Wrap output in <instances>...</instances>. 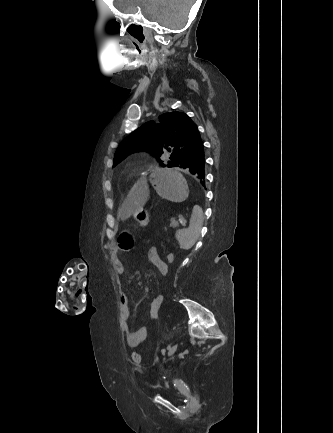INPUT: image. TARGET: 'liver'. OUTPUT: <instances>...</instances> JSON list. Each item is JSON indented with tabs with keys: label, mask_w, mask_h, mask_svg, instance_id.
<instances>
[{
	"label": "liver",
	"mask_w": 333,
	"mask_h": 433,
	"mask_svg": "<svg viewBox=\"0 0 333 433\" xmlns=\"http://www.w3.org/2000/svg\"><path fill=\"white\" fill-rule=\"evenodd\" d=\"M151 190L150 183H137L136 191L130 193L131 201H120L119 208L124 219H129L131 215L138 213L140 203L138 201H148L149 193Z\"/></svg>",
	"instance_id": "6515ba94"
}]
</instances>
